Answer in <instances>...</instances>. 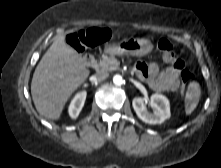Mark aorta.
<instances>
[{
	"mask_svg": "<svg viewBox=\"0 0 221 168\" xmlns=\"http://www.w3.org/2000/svg\"><path fill=\"white\" fill-rule=\"evenodd\" d=\"M113 82H114V84H116V85H121L122 82H123V79H122V77H121L120 75H115V76L113 77Z\"/></svg>",
	"mask_w": 221,
	"mask_h": 168,
	"instance_id": "aorta-1",
	"label": "aorta"
}]
</instances>
